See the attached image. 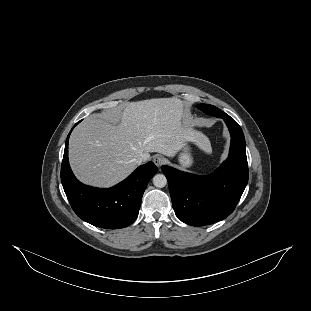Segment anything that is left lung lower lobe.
<instances>
[{
	"label": "left lung lower lobe",
	"mask_w": 311,
	"mask_h": 311,
	"mask_svg": "<svg viewBox=\"0 0 311 311\" xmlns=\"http://www.w3.org/2000/svg\"><path fill=\"white\" fill-rule=\"evenodd\" d=\"M222 118L231 135L229 156L212 174L196 176L163 166L176 216L192 226H203L229 216L248 182L245 138L241 127L228 114Z\"/></svg>",
	"instance_id": "obj_1"
}]
</instances>
